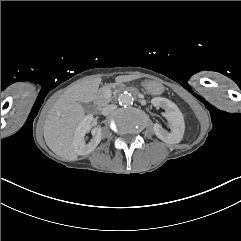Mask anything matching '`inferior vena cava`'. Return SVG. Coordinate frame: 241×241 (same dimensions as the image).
<instances>
[{
	"label": "inferior vena cava",
	"instance_id": "inferior-vena-cava-1",
	"mask_svg": "<svg viewBox=\"0 0 241 241\" xmlns=\"http://www.w3.org/2000/svg\"><path fill=\"white\" fill-rule=\"evenodd\" d=\"M117 106L114 105V104H110V105H107L105 106L103 109H102V114L104 116H107L109 115L111 112H113L114 110H116Z\"/></svg>",
	"mask_w": 241,
	"mask_h": 241
}]
</instances>
